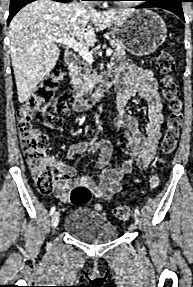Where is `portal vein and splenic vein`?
Masks as SVG:
<instances>
[{
	"label": "portal vein and splenic vein",
	"mask_w": 193,
	"mask_h": 287,
	"mask_svg": "<svg viewBox=\"0 0 193 287\" xmlns=\"http://www.w3.org/2000/svg\"><path fill=\"white\" fill-rule=\"evenodd\" d=\"M50 42H55L58 44H63L74 51L78 52L84 60L92 64L94 59L92 53L80 42L76 41L74 37L70 38H50ZM112 49H107L106 55L110 56L112 54Z\"/></svg>",
	"instance_id": "obj_1"
}]
</instances>
